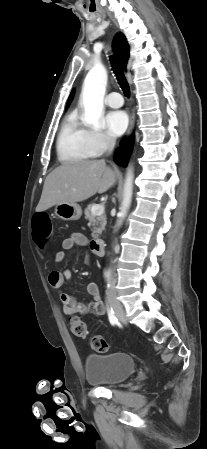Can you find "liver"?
I'll use <instances>...</instances> for the list:
<instances>
[{
	"instance_id": "obj_1",
	"label": "liver",
	"mask_w": 207,
	"mask_h": 449,
	"mask_svg": "<svg viewBox=\"0 0 207 449\" xmlns=\"http://www.w3.org/2000/svg\"><path fill=\"white\" fill-rule=\"evenodd\" d=\"M116 183V173L104 160H82L65 163L46 178L37 212L61 203L84 201L104 193Z\"/></svg>"
}]
</instances>
